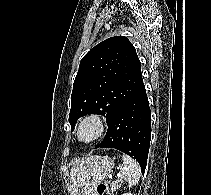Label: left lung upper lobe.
<instances>
[{
    "instance_id": "left-lung-upper-lobe-1",
    "label": "left lung upper lobe",
    "mask_w": 211,
    "mask_h": 195,
    "mask_svg": "<svg viewBox=\"0 0 211 195\" xmlns=\"http://www.w3.org/2000/svg\"><path fill=\"white\" fill-rule=\"evenodd\" d=\"M142 82L141 63L128 38L100 42L80 62L71 95V129L87 114H101L109 124Z\"/></svg>"
}]
</instances>
